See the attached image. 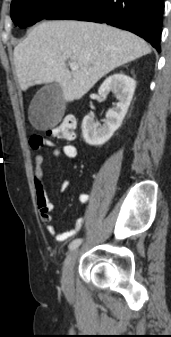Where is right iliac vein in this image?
<instances>
[{
  "label": "right iliac vein",
  "instance_id": "obj_1",
  "mask_svg": "<svg viewBox=\"0 0 171 337\" xmlns=\"http://www.w3.org/2000/svg\"><path fill=\"white\" fill-rule=\"evenodd\" d=\"M78 256V250L75 249L67 256L62 271V285L65 294L70 296L73 293V268Z\"/></svg>",
  "mask_w": 171,
  "mask_h": 337
}]
</instances>
